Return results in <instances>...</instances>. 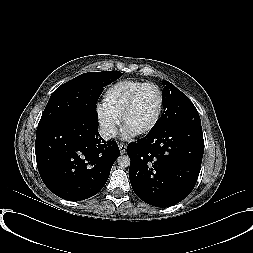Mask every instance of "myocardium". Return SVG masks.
Instances as JSON below:
<instances>
[{"label": "myocardium", "instance_id": "myocardium-1", "mask_svg": "<svg viewBox=\"0 0 253 253\" xmlns=\"http://www.w3.org/2000/svg\"><path fill=\"white\" fill-rule=\"evenodd\" d=\"M149 86L154 87L158 91V94H159L158 109L156 111V114H155L152 122L146 128L133 132L134 135H146V134L150 133L151 131H153L154 128L157 126V124L161 118L162 112H163L164 103H165V97H164L163 90L161 89V87L158 84H156L154 82H144L143 84L138 86L132 92V94L130 95V97L128 98L127 102L125 103V105L122 109V112L120 114V119H121L123 126H125L126 117L129 114V112L131 111V109L133 108L134 104L136 103L139 94L141 93V91L143 89H145L146 87H149Z\"/></svg>", "mask_w": 253, "mask_h": 253}]
</instances>
